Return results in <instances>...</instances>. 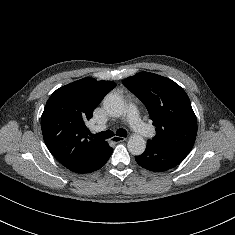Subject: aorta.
<instances>
[{"mask_svg":"<svg viewBox=\"0 0 235 235\" xmlns=\"http://www.w3.org/2000/svg\"><path fill=\"white\" fill-rule=\"evenodd\" d=\"M103 107L110 116L120 117L124 112L125 105L119 95L110 93L103 99ZM127 148L131 154L141 155L146 149V141L142 136L134 134L130 136Z\"/></svg>","mask_w":235,"mask_h":235,"instance_id":"obj_1","label":"aorta"}]
</instances>
